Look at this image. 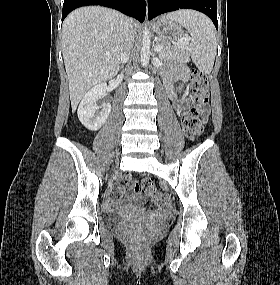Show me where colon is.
Returning a JSON list of instances; mask_svg holds the SVG:
<instances>
[{"label":"colon","mask_w":280,"mask_h":285,"mask_svg":"<svg viewBox=\"0 0 280 285\" xmlns=\"http://www.w3.org/2000/svg\"><path fill=\"white\" fill-rule=\"evenodd\" d=\"M209 98V78L202 71L193 72V97L188 108L182 114V127L185 135L195 139L202 134L204 122L201 118V110L207 104ZM122 181L135 191L149 195L154 206H164L168 202L166 194L158 193L152 180L145 178L141 182L130 175H124ZM138 242V241H137Z\"/></svg>","instance_id":"colon-1"}]
</instances>
